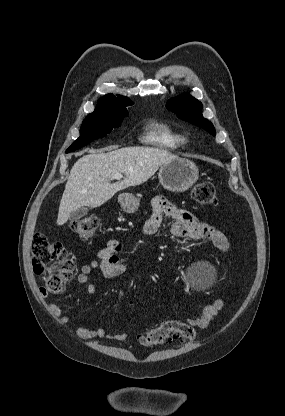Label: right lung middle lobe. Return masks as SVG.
I'll list each match as a JSON object with an SVG mask.
<instances>
[{
  "label": "right lung middle lobe",
  "mask_w": 285,
  "mask_h": 416,
  "mask_svg": "<svg viewBox=\"0 0 285 416\" xmlns=\"http://www.w3.org/2000/svg\"><path fill=\"white\" fill-rule=\"evenodd\" d=\"M127 109L96 110L89 114L83 121L80 136L66 150V153L79 149L92 140L106 136L113 128L118 127L125 116Z\"/></svg>",
  "instance_id": "1"
}]
</instances>
